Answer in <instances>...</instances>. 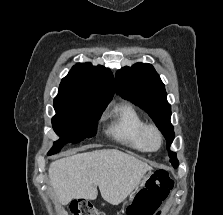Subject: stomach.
Listing matches in <instances>:
<instances>
[{"mask_svg":"<svg viewBox=\"0 0 223 215\" xmlns=\"http://www.w3.org/2000/svg\"><path fill=\"white\" fill-rule=\"evenodd\" d=\"M153 177V173L152 171H149V173H145V175H143L141 181H140V185H138L136 191H134V193H138L139 190H147V184L144 183L145 179H152ZM130 201H132V198H130ZM125 209H127V206L125 207Z\"/></svg>","mask_w":223,"mask_h":215,"instance_id":"1","label":"stomach"}]
</instances>
